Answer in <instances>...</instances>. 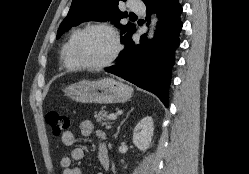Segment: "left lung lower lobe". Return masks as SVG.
I'll use <instances>...</instances> for the list:
<instances>
[{
  "label": "left lung lower lobe",
  "mask_w": 249,
  "mask_h": 174,
  "mask_svg": "<svg viewBox=\"0 0 249 174\" xmlns=\"http://www.w3.org/2000/svg\"><path fill=\"white\" fill-rule=\"evenodd\" d=\"M153 2L156 6L152 5ZM145 4L146 18L153 12L159 15L154 38L147 40L144 34L139 44H135L131 36L125 38L122 41L125 48L117 59V65L105 71L154 93L168 107L171 68L182 29V7L178 0H148Z\"/></svg>",
  "instance_id": "left-lung-lower-lobe-1"
}]
</instances>
